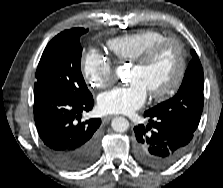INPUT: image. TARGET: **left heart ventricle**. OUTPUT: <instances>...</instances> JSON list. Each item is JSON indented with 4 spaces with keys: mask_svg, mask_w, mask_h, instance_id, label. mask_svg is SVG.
Wrapping results in <instances>:
<instances>
[{
    "mask_svg": "<svg viewBox=\"0 0 223 188\" xmlns=\"http://www.w3.org/2000/svg\"><path fill=\"white\" fill-rule=\"evenodd\" d=\"M178 68V52L174 46L163 49L146 67L132 66L128 79L139 81L147 92L160 90L173 80Z\"/></svg>",
    "mask_w": 223,
    "mask_h": 188,
    "instance_id": "b2bd125f",
    "label": "left heart ventricle"
}]
</instances>
